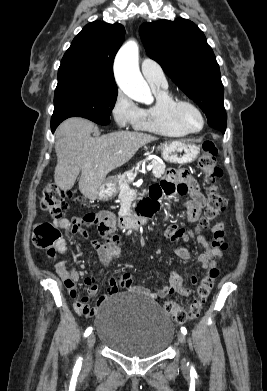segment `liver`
Instances as JSON below:
<instances>
[{"label":"liver","mask_w":267,"mask_h":391,"mask_svg":"<svg viewBox=\"0 0 267 391\" xmlns=\"http://www.w3.org/2000/svg\"><path fill=\"white\" fill-rule=\"evenodd\" d=\"M94 123L79 117L62 122L55 132L57 165L55 184L70 190L81 172L80 192L89 199L97 198V190L108 173L127 163L144 145L156 137L130 131H117L93 138Z\"/></svg>","instance_id":"6515ba94"}]
</instances>
